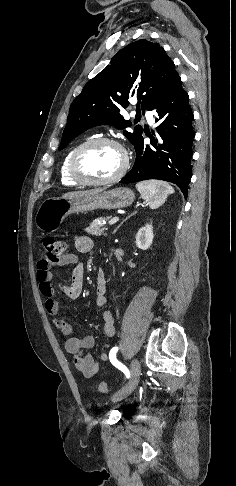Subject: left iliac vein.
<instances>
[{"instance_id": "1", "label": "left iliac vein", "mask_w": 236, "mask_h": 486, "mask_svg": "<svg viewBox=\"0 0 236 486\" xmlns=\"http://www.w3.org/2000/svg\"><path fill=\"white\" fill-rule=\"evenodd\" d=\"M130 373L131 377L129 382L112 396L113 402L120 401L125 397L129 396L137 387L140 380L141 371L139 361L136 358L131 361Z\"/></svg>"}]
</instances>
